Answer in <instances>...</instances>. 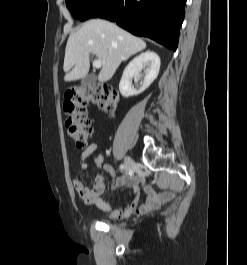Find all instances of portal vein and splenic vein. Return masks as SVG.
<instances>
[{
  "instance_id": "portal-vein-and-splenic-vein-1",
  "label": "portal vein and splenic vein",
  "mask_w": 247,
  "mask_h": 265,
  "mask_svg": "<svg viewBox=\"0 0 247 265\" xmlns=\"http://www.w3.org/2000/svg\"><path fill=\"white\" fill-rule=\"evenodd\" d=\"M101 66H102V62L99 59H95L93 61V67L94 68H101Z\"/></svg>"
}]
</instances>
